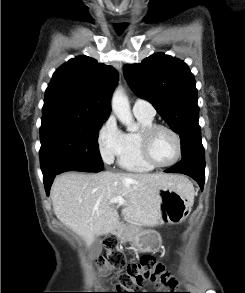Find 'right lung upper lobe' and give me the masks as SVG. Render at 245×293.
<instances>
[{"mask_svg": "<svg viewBox=\"0 0 245 293\" xmlns=\"http://www.w3.org/2000/svg\"><path fill=\"white\" fill-rule=\"evenodd\" d=\"M118 74L88 56L75 57L53 74L45 92L43 115L62 114L105 121Z\"/></svg>", "mask_w": 245, "mask_h": 293, "instance_id": "right-lung-upper-lobe-1", "label": "right lung upper lobe"}]
</instances>
